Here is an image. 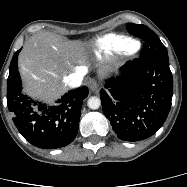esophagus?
Wrapping results in <instances>:
<instances>
[{"instance_id":"obj_1","label":"esophagus","mask_w":187,"mask_h":187,"mask_svg":"<svg viewBox=\"0 0 187 187\" xmlns=\"http://www.w3.org/2000/svg\"><path fill=\"white\" fill-rule=\"evenodd\" d=\"M99 87L100 85L96 80L92 79L89 81V88L91 89V91L96 92Z\"/></svg>"}]
</instances>
